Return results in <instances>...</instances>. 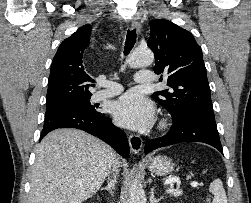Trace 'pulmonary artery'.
Segmentation results:
<instances>
[{"mask_svg":"<svg viewBox=\"0 0 251 203\" xmlns=\"http://www.w3.org/2000/svg\"><path fill=\"white\" fill-rule=\"evenodd\" d=\"M137 83H151L153 81V73L151 71L139 72L135 75ZM106 89L96 92L92 96L93 101H101L114 97L123 91V86L119 83L108 81L105 83Z\"/></svg>","mask_w":251,"mask_h":203,"instance_id":"pulmonary-artery-1","label":"pulmonary artery"}]
</instances>
